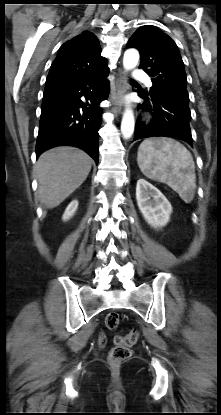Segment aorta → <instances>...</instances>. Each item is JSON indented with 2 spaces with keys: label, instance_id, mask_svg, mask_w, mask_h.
<instances>
[{
  "label": "aorta",
  "instance_id": "762f6f07",
  "mask_svg": "<svg viewBox=\"0 0 221 415\" xmlns=\"http://www.w3.org/2000/svg\"><path fill=\"white\" fill-rule=\"evenodd\" d=\"M139 61V52L136 49H127L123 57V66L125 70H131L135 68ZM135 120L134 114L130 107L126 108L122 122L121 133L124 139H129L134 132Z\"/></svg>",
  "mask_w": 221,
  "mask_h": 415
}]
</instances>
